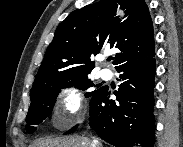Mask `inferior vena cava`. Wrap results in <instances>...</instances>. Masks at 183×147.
Segmentation results:
<instances>
[{
  "label": "inferior vena cava",
  "mask_w": 183,
  "mask_h": 147,
  "mask_svg": "<svg viewBox=\"0 0 183 147\" xmlns=\"http://www.w3.org/2000/svg\"><path fill=\"white\" fill-rule=\"evenodd\" d=\"M91 147H101V145L97 140L93 139L91 142Z\"/></svg>",
  "instance_id": "obj_1"
}]
</instances>
